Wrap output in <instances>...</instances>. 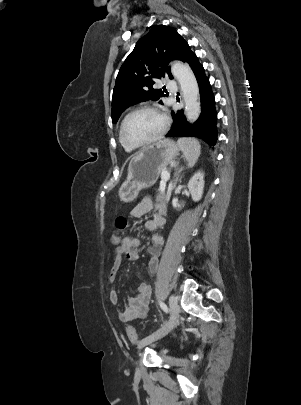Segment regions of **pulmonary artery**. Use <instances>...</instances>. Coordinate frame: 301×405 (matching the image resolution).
<instances>
[{
	"label": "pulmonary artery",
	"mask_w": 301,
	"mask_h": 405,
	"mask_svg": "<svg viewBox=\"0 0 301 405\" xmlns=\"http://www.w3.org/2000/svg\"><path fill=\"white\" fill-rule=\"evenodd\" d=\"M167 88L171 91L176 90V83L174 81H168L167 82Z\"/></svg>",
	"instance_id": "pulmonary-artery-1"
}]
</instances>
